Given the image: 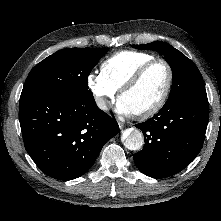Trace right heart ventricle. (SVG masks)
Wrapping results in <instances>:
<instances>
[{
    "label": "right heart ventricle",
    "instance_id": "1",
    "mask_svg": "<svg viewBox=\"0 0 221 221\" xmlns=\"http://www.w3.org/2000/svg\"><path fill=\"white\" fill-rule=\"evenodd\" d=\"M155 56L140 51H120L108 57L101 64V73L116 90L145 62Z\"/></svg>",
    "mask_w": 221,
    "mask_h": 221
}]
</instances>
